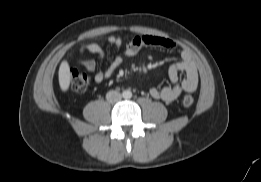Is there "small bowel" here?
Instances as JSON below:
<instances>
[{"instance_id":"1","label":"small bowel","mask_w":261,"mask_h":182,"mask_svg":"<svg viewBox=\"0 0 261 182\" xmlns=\"http://www.w3.org/2000/svg\"><path fill=\"white\" fill-rule=\"evenodd\" d=\"M107 44L113 47L119 53L114 57L109 66L105 69H99L94 75V82L99 84L105 79L110 78L122 65L125 58L136 56L144 47H157L166 50H176L180 54V60L173 63L168 70L171 85L163 88H151L150 95L155 99H161L165 102L176 100L184 92H194L198 87L199 76L198 69L191 53L185 48L179 46L171 39L158 35H139L126 42L121 38L109 36ZM83 52L95 54L101 63H104L106 53L103 47L98 43H89L81 47ZM80 62L86 70L93 72L97 63L93 58L82 57ZM184 72L185 78L179 82V73Z\"/></svg>"}]
</instances>
